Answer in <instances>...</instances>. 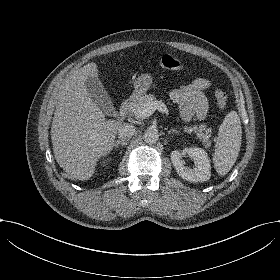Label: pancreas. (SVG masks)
I'll use <instances>...</instances> for the list:
<instances>
[{"mask_svg":"<svg viewBox=\"0 0 280 280\" xmlns=\"http://www.w3.org/2000/svg\"><path fill=\"white\" fill-rule=\"evenodd\" d=\"M156 97L154 95H141L139 96L135 101L131 102L129 104V111L132 115H135L136 118H138L139 111L144 108V106L152 101H155ZM141 119L143 117H140ZM185 132L192 133L195 132L197 135V138H199L202 141V144L205 146V148H208L211 146V133L212 129L207 128L205 124L202 125H195L193 127H184Z\"/></svg>","mask_w":280,"mask_h":280,"instance_id":"cf45deb5","label":"pancreas"}]
</instances>
